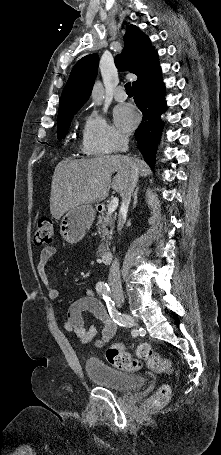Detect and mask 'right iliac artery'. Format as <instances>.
<instances>
[{
  "label": "right iliac artery",
  "instance_id": "right-iliac-artery-1",
  "mask_svg": "<svg viewBox=\"0 0 221 455\" xmlns=\"http://www.w3.org/2000/svg\"><path fill=\"white\" fill-rule=\"evenodd\" d=\"M96 290H97L98 294H100L103 297V299L106 301L109 314H110L111 318H113V321L116 322L120 326H126L128 328L131 325V323L129 322L127 315L121 314V312H119L115 308V303L113 300H111V297H110L109 286L106 283L99 282L96 284ZM138 332H139L138 329L133 328V329H131L129 335L132 338L133 337L136 338L139 336Z\"/></svg>",
  "mask_w": 221,
  "mask_h": 455
}]
</instances>
